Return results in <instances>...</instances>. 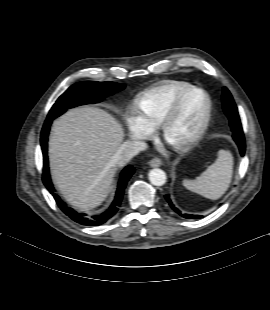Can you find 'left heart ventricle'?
<instances>
[{
  "mask_svg": "<svg viewBox=\"0 0 270 310\" xmlns=\"http://www.w3.org/2000/svg\"><path fill=\"white\" fill-rule=\"evenodd\" d=\"M204 106L205 101L201 95L193 94L189 96L169 128L168 142L192 133L201 120Z\"/></svg>",
  "mask_w": 270,
  "mask_h": 310,
  "instance_id": "left-heart-ventricle-1",
  "label": "left heart ventricle"
}]
</instances>
